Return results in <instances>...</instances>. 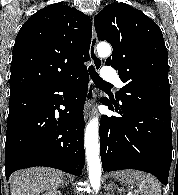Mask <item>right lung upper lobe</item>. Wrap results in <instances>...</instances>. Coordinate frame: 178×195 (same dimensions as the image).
Segmentation results:
<instances>
[{
	"mask_svg": "<svg viewBox=\"0 0 178 195\" xmlns=\"http://www.w3.org/2000/svg\"><path fill=\"white\" fill-rule=\"evenodd\" d=\"M92 36L90 18L55 3L32 15L13 47L10 93L67 81L86 69Z\"/></svg>",
	"mask_w": 178,
	"mask_h": 195,
	"instance_id": "right-lung-upper-lobe-1",
	"label": "right lung upper lobe"
}]
</instances>
